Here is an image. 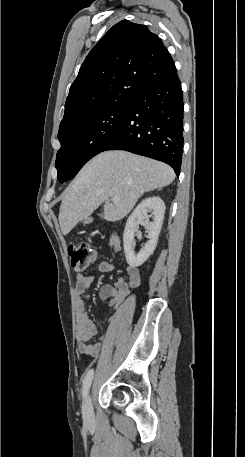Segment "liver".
I'll return each instance as SVG.
<instances>
[{
  "label": "liver",
  "instance_id": "1",
  "mask_svg": "<svg viewBox=\"0 0 245 457\" xmlns=\"http://www.w3.org/2000/svg\"><path fill=\"white\" fill-rule=\"evenodd\" d=\"M175 172L169 164L132 154L126 150H105L84 164L67 186L59 210L62 235H68L79 220L104 204L103 218L121 220L143 192L167 186ZM119 196V204L109 202Z\"/></svg>",
  "mask_w": 245,
  "mask_h": 457
}]
</instances>
